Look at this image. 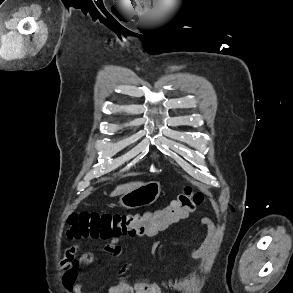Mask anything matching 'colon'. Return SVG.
Returning a JSON list of instances; mask_svg holds the SVG:
<instances>
[{"label": "colon", "mask_w": 293, "mask_h": 293, "mask_svg": "<svg viewBox=\"0 0 293 293\" xmlns=\"http://www.w3.org/2000/svg\"><path fill=\"white\" fill-rule=\"evenodd\" d=\"M202 198V193L186 187L183 193L161 209L128 214L73 212L67 218V236L73 239H110L115 235L139 234L162 229L184 218ZM139 292L155 293L156 290L145 286Z\"/></svg>", "instance_id": "1"}]
</instances>
